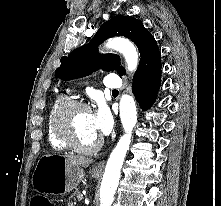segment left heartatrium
Listing matches in <instances>:
<instances>
[{
    "label": "left heart atrium",
    "mask_w": 221,
    "mask_h": 206,
    "mask_svg": "<svg viewBox=\"0 0 221 206\" xmlns=\"http://www.w3.org/2000/svg\"><path fill=\"white\" fill-rule=\"evenodd\" d=\"M92 123L98 136L107 135L112 129V117L104 106L91 112Z\"/></svg>",
    "instance_id": "obj_1"
}]
</instances>
